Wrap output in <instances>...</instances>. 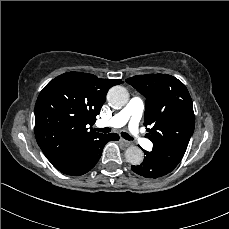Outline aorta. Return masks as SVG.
I'll return each mask as SVG.
<instances>
[{"instance_id":"obj_1","label":"aorta","mask_w":229,"mask_h":229,"mask_svg":"<svg viewBox=\"0 0 229 229\" xmlns=\"http://www.w3.org/2000/svg\"><path fill=\"white\" fill-rule=\"evenodd\" d=\"M108 104L113 108H121L129 101V93L122 86H114L107 93ZM126 161L132 165H140L144 159V153L138 146H130L125 151Z\"/></svg>"}]
</instances>
